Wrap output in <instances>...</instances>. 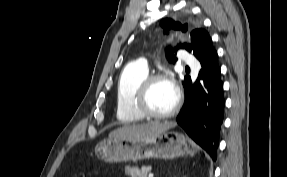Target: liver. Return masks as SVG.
<instances>
[{"label": "liver", "mask_w": 287, "mask_h": 177, "mask_svg": "<svg viewBox=\"0 0 287 177\" xmlns=\"http://www.w3.org/2000/svg\"><path fill=\"white\" fill-rule=\"evenodd\" d=\"M175 123L158 121L149 122L146 124L125 125L112 132H110V138H145L150 137L170 128H173Z\"/></svg>", "instance_id": "obj_1"}]
</instances>
